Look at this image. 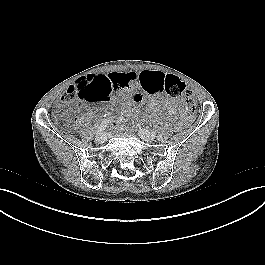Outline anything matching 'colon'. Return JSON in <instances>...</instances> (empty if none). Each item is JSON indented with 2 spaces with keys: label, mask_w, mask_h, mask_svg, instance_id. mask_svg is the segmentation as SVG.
<instances>
[{
  "label": "colon",
  "mask_w": 265,
  "mask_h": 265,
  "mask_svg": "<svg viewBox=\"0 0 265 265\" xmlns=\"http://www.w3.org/2000/svg\"><path fill=\"white\" fill-rule=\"evenodd\" d=\"M165 93L172 98L182 97L185 109L188 111L194 110L195 100L191 94L185 92L184 83L175 75L168 74L164 81L157 87L156 94ZM111 94V89L108 83L101 78L92 80H79L74 86L70 87L62 98V106L69 101L80 98L85 101H104ZM133 104L138 108L143 102V95L139 92L132 96ZM66 112L62 110L61 117H65ZM77 119L69 120V127L74 128L77 125Z\"/></svg>",
  "instance_id": "colon-1"
}]
</instances>
